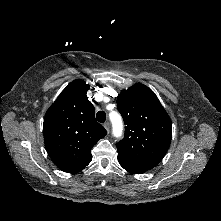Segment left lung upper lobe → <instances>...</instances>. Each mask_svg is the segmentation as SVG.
<instances>
[{"instance_id": "5c2ea615", "label": "left lung upper lobe", "mask_w": 221, "mask_h": 221, "mask_svg": "<svg viewBox=\"0 0 221 221\" xmlns=\"http://www.w3.org/2000/svg\"><path fill=\"white\" fill-rule=\"evenodd\" d=\"M125 123L124 139L116 144L118 155L150 170L169 149L172 123L154 92L143 84L123 90L117 98Z\"/></svg>"}]
</instances>
